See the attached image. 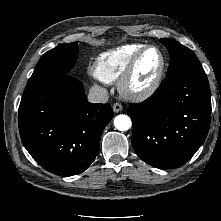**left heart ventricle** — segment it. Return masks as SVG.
I'll list each match as a JSON object with an SVG mask.
<instances>
[{
  "mask_svg": "<svg viewBox=\"0 0 221 221\" xmlns=\"http://www.w3.org/2000/svg\"><path fill=\"white\" fill-rule=\"evenodd\" d=\"M160 64L159 53L150 49L141 58L133 78V85L143 87L148 84L158 70Z\"/></svg>",
  "mask_w": 221,
  "mask_h": 221,
  "instance_id": "left-heart-ventricle-1",
  "label": "left heart ventricle"
}]
</instances>
